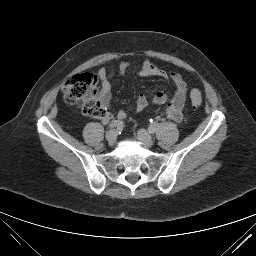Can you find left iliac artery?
<instances>
[{
  "mask_svg": "<svg viewBox=\"0 0 256 256\" xmlns=\"http://www.w3.org/2000/svg\"><path fill=\"white\" fill-rule=\"evenodd\" d=\"M157 125H158L157 122L152 121L149 128H148L149 132L154 133L156 131Z\"/></svg>",
  "mask_w": 256,
  "mask_h": 256,
  "instance_id": "obj_1",
  "label": "left iliac artery"
}]
</instances>
